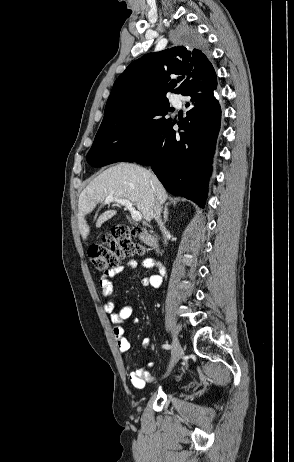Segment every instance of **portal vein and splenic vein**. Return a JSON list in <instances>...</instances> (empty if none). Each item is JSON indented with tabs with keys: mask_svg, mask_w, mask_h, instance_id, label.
<instances>
[{
	"mask_svg": "<svg viewBox=\"0 0 294 462\" xmlns=\"http://www.w3.org/2000/svg\"><path fill=\"white\" fill-rule=\"evenodd\" d=\"M112 201H116V202L120 203L121 205H123L126 209H128L130 211V213H131L132 219L135 222H139V221L142 220L141 213L133 207V204H132V202L130 200L122 199V198H116V197H113V196H107L105 198V203H109V202H112Z\"/></svg>",
	"mask_w": 294,
	"mask_h": 462,
	"instance_id": "18ae733b",
	"label": "portal vein and splenic vein"
}]
</instances>
